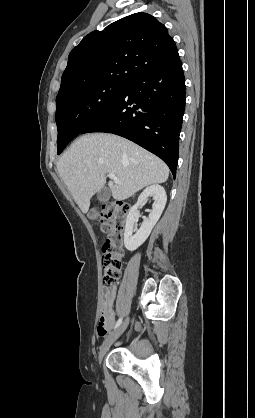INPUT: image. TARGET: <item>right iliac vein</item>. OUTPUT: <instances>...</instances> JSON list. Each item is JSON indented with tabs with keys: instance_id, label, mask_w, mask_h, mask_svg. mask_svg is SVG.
I'll return each instance as SVG.
<instances>
[{
	"instance_id": "1",
	"label": "right iliac vein",
	"mask_w": 255,
	"mask_h": 418,
	"mask_svg": "<svg viewBox=\"0 0 255 418\" xmlns=\"http://www.w3.org/2000/svg\"><path fill=\"white\" fill-rule=\"evenodd\" d=\"M129 323V318H127L114 332H112L103 342L102 346L100 347L98 359L99 363H101L104 355L109 350L110 346L121 336V334L125 331Z\"/></svg>"
}]
</instances>
